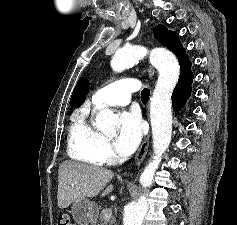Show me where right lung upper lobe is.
<instances>
[{
    "mask_svg": "<svg viewBox=\"0 0 237 225\" xmlns=\"http://www.w3.org/2000/svg\"><path fill=\"white\" fill-rule=\"evenodd\" d=\"M88 90H89V81L85 77L80 78L73 90L70 99V106L71 107L80 106L83 103Z\"/></svg>",
    "mask_w": 237,
    "mask_h": 225,
    "instance_id": "right-lung-upper-lobe-1",
    "label": "right lung upper lobe"
}]
</instances>
